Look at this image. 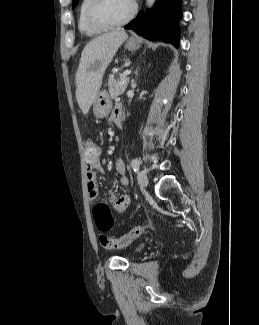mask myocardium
I'll list each match as a JSON object with an SVG mask.
<instances>
[{"label": "myocardium", "mask_w": 259, "mask_h": 325, "mask_svg": "<svg viewBox=\"0 0 259 325\" xmlns=\"http://www.w3.org/2000/svg\"><path fill=\"white\" fill-rule=\"evenodd\" d=\"M104 3L105 0H90L86 11V18L88 23L94 28L106 30L122 26L134 17L137 10L136 4L132 2L131 9L125 17L119 20H110L102 14Z\"/></svg>", "instance_id": "f54148a6"}]
</instances>
